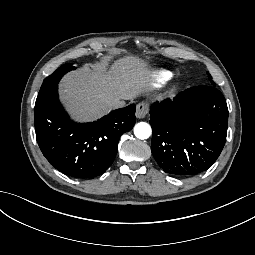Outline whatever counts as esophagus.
<instances>
[{"instance_id": "34e87169", "label": "esophagus", "mask_w": 255, "mask_h": 255, "mask_svg": "<svg viewBox=\"0 0 255 255\" xmlns=\"http://www.w3.org/2000/svg\"><path fill=\"white\" fill-rule=\"evenodd\" d=\"M149 112V104L146 102H141L136 108V117L141 119L144 118Z\"/></svg>"}]
</instances>
